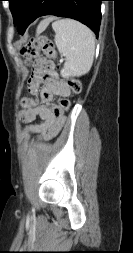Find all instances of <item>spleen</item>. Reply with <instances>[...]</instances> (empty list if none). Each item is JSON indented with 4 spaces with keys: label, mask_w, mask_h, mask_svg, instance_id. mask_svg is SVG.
Returning a JSON list of instances; mask_svg holds the SVG:
<instances>
[{
    "label": "spleen",
    "mask_w": 133,
    "mask_h": 253,
    "mask_svg": "<svg viewBox=\"0 0 133 253\" xmlns=\"http://www.w3.org/2000/svg\"><path fill=\"white\" fill-rule=\"evenodd\" d=\"M55 43L59 53L65 57L61 74L64 77H79L86 74L93 63L95 37L84 24L73 19H60L52 24Z\"/></svg>",
    "instance_id": "spleen-1"
}]
</instances>
